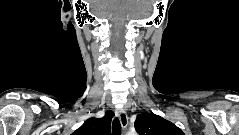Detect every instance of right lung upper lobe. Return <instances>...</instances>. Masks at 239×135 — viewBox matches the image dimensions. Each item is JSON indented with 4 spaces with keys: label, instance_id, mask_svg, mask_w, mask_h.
I'll return each instance as SVG.
<instances>
[{
    "label": "right lung upper lobe",
    "instance_id": "obj_1",
    "mask_svg": "<svg viewBox=\"0 0 239 135\" xmlns=\"http://www.w3.org/2000/svg\"><path fill=\"white\" fill-rule=\"evenodd\" d=\"M114 113L106 111L102 118H89L72 135H111V119Z\"/></svg>",
    "mask_w": 239,
    "mask_h": 135
}]
</instances>
